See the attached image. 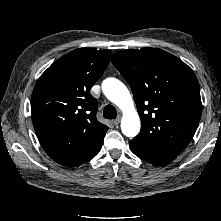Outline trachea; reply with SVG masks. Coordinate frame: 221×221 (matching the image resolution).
Segmentation results:
<instances>
[{"mask_svg": "<svg viewBox=\"0 0 221 221\" xmlns=\"http://www.w3.org/2000/svg\"><path fill=\"white\" fill-rule=\"evenodd\" d=\"M103 116L106 119H115L117 117V111L114 106L106 105L103 111Z\"/></svg>", "mask_w": 221, "mask_h": 221, "instance_id": "obj_1", "label": "trachea"}]
</instances>
